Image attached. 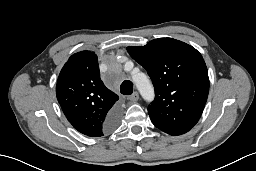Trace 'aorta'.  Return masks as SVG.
<instances>
[{
    "label": "aorta",
    "mask_w": 256,
    "mask_h": 171,
    "mask_svg": "<svg viewBox=\"0 0 256 171\" xmlns=\"http://www.w3.org/2000/svg\"><path fill=\"white\" fill-rule=\"evenodd\" d=\"M133 82L139 90L142 97L147 101H152L154 98V89L145 74L138 73L133 76Z\"/></svg>",
    "instance_id": "obj_1"
}]
</instances>
